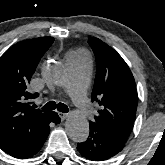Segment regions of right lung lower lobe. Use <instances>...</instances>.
Here are the masks:
<instances>
[{
    "instance_id": "98d812e1",
    "label": "right lung lower lobe",
    "mask_w": 165,
    "mask_h": 165,
    "mask_svg": "<svg viewBox=\"0 0 165 165\" xmlns=\"http://www.w3.org/2000/svg\"><path fill=\"white\" fill-rule=\"evenodd\" d=\"M50 123H60V117L56 112L52 113L42 128L34 133L20 137L14 144L4 149V151L15 158L25 159L32 157L39 152L46 141L50 133Z\"/></svg>"
}]
</instances>
